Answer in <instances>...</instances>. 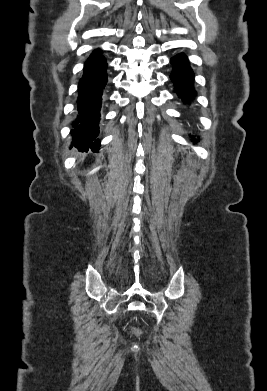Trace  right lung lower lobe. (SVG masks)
Segmentation results:
<instances>
[{
    "label": "right lung lower lobe",
    "instance_id": "right-lung-lower-lobe-1",
    "mask_svg": "<svg viewBox=\"0 0 267 391\" xmlns=\"http://www.w3.org/2000/svg\"><path fill=\"white\" fill-rule=\"evenodd\" d=\"M107 78L106 59L99 51H95L85 62L84 74L78 85V120L73 123L74 129L71 131L74 145L82 152H87L89 148L98 151L100 141L95 138L98 135L99 111Z\"/></svg>",
    "mask_w": 267,
    "mask_h": 391
}]
</instances>
